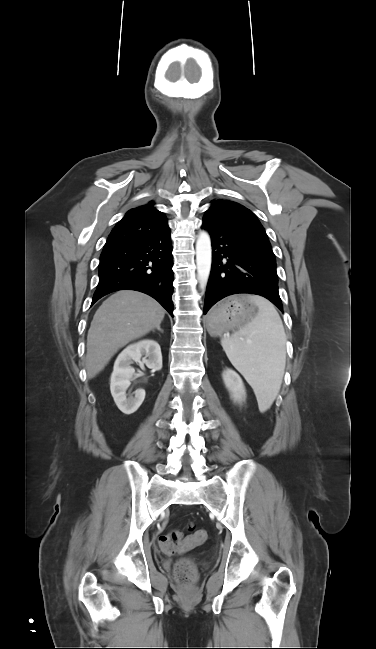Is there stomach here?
Returning a JSON list of instances; mask_svg holds the SVG:
<instances>
[{
    "label": "stomach",
    "mask_w": 376,
    "mask_h": 649,
    "mask_svg": "<svg viewBox=\"0 0 376 649\" xmlns=\"http://www.w3.org/2000/svg\"><path fill=\"white\" fill-rule=\"evenodd\" d=\"M249 295H233L218 303L209 313L207 324L211 335L245 326L256 315V304Z\"/></svg>",
    "instance_id": "stomach-1"
}]
</instances>
